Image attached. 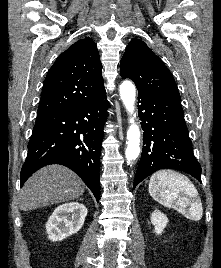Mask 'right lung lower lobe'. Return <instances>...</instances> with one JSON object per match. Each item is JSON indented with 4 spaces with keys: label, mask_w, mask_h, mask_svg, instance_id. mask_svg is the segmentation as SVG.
<instances>
[{
    "label": "right lung lower lobe",
    "mask_w": 221,
    "mask_h": 268,
    "mask_svg": "<svg viewBox=\"0 0 221 268\" xmlns=\"http://www.w3.org/2000/svg\"><path fill=\"white\" fill-rule=\"evenodd\" d=\"M109 103L106 96L66 110L38 114L20 173L21 186L35 171L62 164L100 199V153Z\"/></svg>",
    "instance_id": "98d812e1"
}]
</instances>
